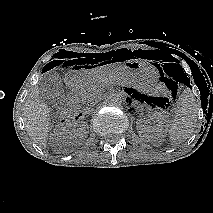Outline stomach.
I'll return each mask as SVG.
<instances>
[{"mask_svg": "<svg viewBox=\"0 0 213 213\" xmlns=\"http://www.w3.org/2000/svg\"><path fill=\"white\" fill-rule=\"evenodd\" d=\"M119 76L122 79L132 81L141 88H149L158 78L157 69L145 60H130L126 63H111L98 65L90 71H79L68 75L67 80L71 84L81 86L90 79Z\"/></svg>", "mask_w": 213, "mask_h": 213, "instance_id": "0dacf381", "label": "stomach"}]
</instances>
